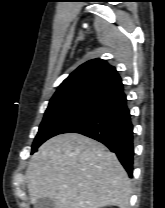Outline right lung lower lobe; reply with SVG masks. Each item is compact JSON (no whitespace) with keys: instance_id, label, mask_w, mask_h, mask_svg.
Masks as SVG:
<instances>
[{"instance_id":"1","label":"right lung lower lobe","mask_w":165,"mask_h":208,"mask_svg":"<svg viewBox=\"0 0 165 208\" xmlns=\"http://www.w3.org/2000/svg\"><path fill=\"white\" fill-rule=\"evenodd\" d=\"M62 133H79L106 145L114 152L130 178L133 176V125L124 92L116 93Z\"/></svg>"}]
</instances>
